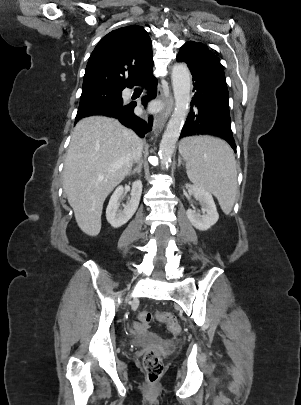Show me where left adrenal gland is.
I'll use <instances>...</instances> for the list:
<instances>
[{
    "label": "left adrenal gland",
    "mask_w": 301,
    "mask_h": 405,
    "mask_svg": "<svg viewBox=\"0 0 301 405\" xmlns=\"http://www.w3.org/2000/svg\"><path fill=\"white\" fill-rule=\"evenodd\" d=\"M181 164H182V161H181V157L179 156V158H178V167H180Z\"/></svg>",
    "instance_id": "left-adrenal-gland-1"
}]
</instances>
